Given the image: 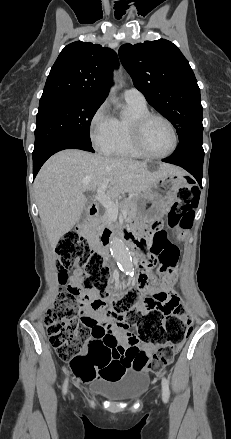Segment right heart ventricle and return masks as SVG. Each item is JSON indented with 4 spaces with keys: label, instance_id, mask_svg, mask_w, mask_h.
<instances>
[{
    "label": "right heart ventricle",
    "instance_id": "right-heart-ventricle-1",
    "mask_svg": "<svg viewBox=\"0 0 231 439\" xmlns=\"http://www.w3.org/2000/svg\"><path fill=\"white\" fill-rule=\"evenodd\" d=\"M128 115L113 118L112 139L104 146L101 151L104 154L130 159L144 158L134 147L132 142L131 130L133 121L148 113L146 103L126 101Z\"/></svg>",
    "mask_w": 231,
    "mask_h": 439
}]
</instances>
